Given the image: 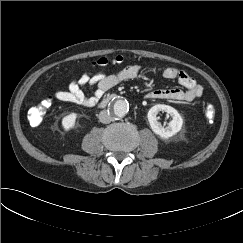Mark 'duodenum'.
I'll list each match as a JSON object with an SVG mask.
<instances>
[{
    "label": "duodenum",
    "instance_id": "obj_1",
    "mask_svg": "<svg viewBox=\"0 0 243 243\" xmlns=\"http://www.w3.org/2000/svg\"><path fill=\"white\" fill-rule=\"evenodd\" d=\"M113 99H115V95H111V96H108L104 99H102L100 102H99V107L103 108L105 107L110 101H112Z\"/></svg>",
    "mask_w": 243,
    "mask_h": 243
}]
</instances>
